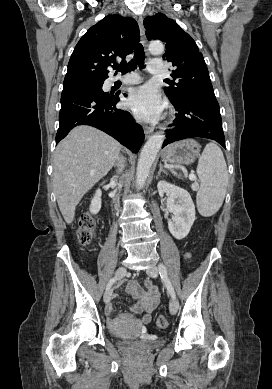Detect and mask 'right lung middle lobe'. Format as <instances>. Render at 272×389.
<instances>
[{"label":"right lung middle lobe","mask_w":272,"mask_h":389,"mask_svg":"<svg viewBox=\"0 0 272 389\" xmlns=\"http://www.w3.org/2000/svg\"><path fill=\"white\" fill-rule=\"evenodd\" d=\"M103 83L104 81L88 82V83L77 84V85L64 87V88H89V89L102 90Z\"/></svg>","instance_id":"obj_1"}]
</instances>
